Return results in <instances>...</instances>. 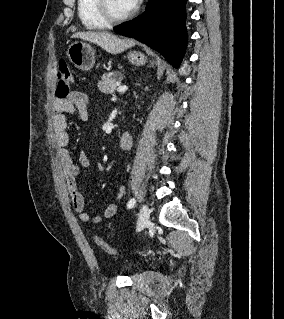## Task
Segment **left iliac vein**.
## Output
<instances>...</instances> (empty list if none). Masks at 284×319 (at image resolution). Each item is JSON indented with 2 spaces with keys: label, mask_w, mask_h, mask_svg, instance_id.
<instances>
[{
  "label": "left iliac vein",
  "mask_w": 284,
  "mask_h": 319,
  "mask_svg": "<svg viewBox=\"0 0 284 319\" xmlns=\"http://www.w3.org/2000/svg\"><path fill=\"white\" fill-rule=\"evenodd\" d=\"M150 211L147 205H143L139 212L137 221V231H141L146 228L149 224Z\"/></svg>",
  "instance_id": "4c4485c4"
}]
</instances>
